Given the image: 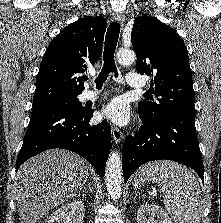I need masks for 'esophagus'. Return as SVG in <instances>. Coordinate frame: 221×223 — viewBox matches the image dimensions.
Wrapping results in <instances>:
<instances>
[{
    "label": "esophagus",
    "instance_id": "obj_1",
    "mask_svg": "<svg viewBox=\"0 0 221 223\" xmlns=\"http://www.w3.org/2000/svg\"><path fill=\"white\" fill-rule=\"evenodd\" d=\"M113 18L116 22H118L121 25V27H123L124 22H125L124 14L115 13ZM111 131H112V137H113V140L115 141V143L116 144L120 143L122 141V139L124 138L123 133L115 125H112Z\"/></svg>",
    "mask_w": 221,
    "mask_h": 223
}]
</instances>
